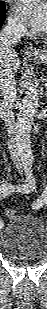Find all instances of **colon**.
<instances>
[{"instance_id": "obj_1", "label": "colon", "mask_w": 47, "mask_h": 309, "mask_svg": "<svg viewBox=\"0 0 47 309\" xmlns=\"http://www.w3.org/2000/svg\"><path fill=\"white\" fill-rule=\"evenodd\" d=\"M5 215L8 217V218H12L15 216V212L13 210H10V209H7L5 210Z\"/></svg>"}]
</instances>
